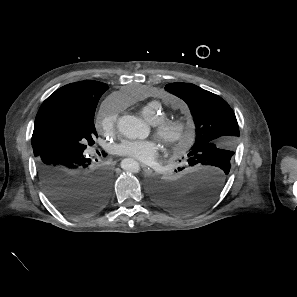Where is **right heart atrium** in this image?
I'll list each match as a JSON object with an SVG mask.
<instances>
[{"mask_svg": "<svg viewBox=\"0 0 297 297\" xmlns=\"http://www.w3.org/2000/svg\"><path fill=\"white\" fill-rule=\"evenodd\" d=\"M119 111L120 107L115 98L109 97L103 101L97 118L103 134L109 135L114 132Z\"/></svg>", "mask_w": 297, "mask_h": 297, "instance_id": "d8ad5b80", "label": "right heart atrium"}]
</instances>
